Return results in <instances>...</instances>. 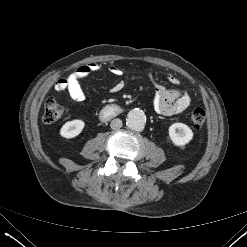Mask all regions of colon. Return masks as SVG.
<instances>
[{
  "mask_svg": "<svg viewBox=\"0 0 247 247\" xmlns=\"http://www.w3.org/2000/svg\"><path fill=\"white\" fill-rule=\"evenodd\" d=\"M64 112L65 109L62 105L57 103L53 98H47L44 102L42 119L46 124H53L63 116ZM190 119L192 126L200 130L205 125L207 113L203 108H195L191 112Z\"/></svg>",
  "mask_w": 247,
  "mask_h": 247,
  "instance_id": "5ec220e1",
  "label": "colon"
}]
</instances>
